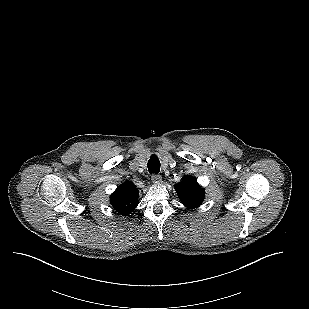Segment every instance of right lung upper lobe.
Returning a JSON list of instances; mask_svg holds the SVG:
<instances>
[{"label": "right lung upper lobe", "instance_id": "cb5924a9", "mask_svg": "<svg viewBox=\"0 0 309 309\" xmlns=\"http://www.w3.org/2000/svg\"><path fill=\"white\" fill-rule=\"evenodd\" d=\"M138 193L135 185L126 181L117 187L111 195L110 202L118 213L129 216L138 205Z\"/></svg>", "mask_w": 309, "mask_h": 309}]
</instances>
